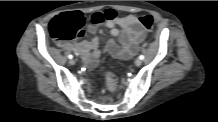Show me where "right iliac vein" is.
Returning <instances> with one entry per match:
<instances>
[{"mask_svg":"<svg viewBox=\"0 0 218 122\" xmlns=\"http://www.w3.org/2000/svg\"><path fill=\"white\" fill-rule=\"evenodd\" d=\"M69 63H70L71 65H74V64H75V60L71 59V60L69 61Z\"/></svg>","mask_w":218,"mask_h":122,"instance_id":"1","label":"right iliac vein"}]
</instances>
